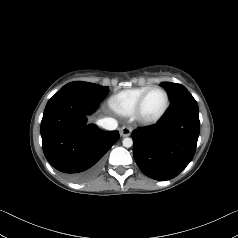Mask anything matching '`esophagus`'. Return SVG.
Returning a JSON list of instances; mask_svg holds the SVG:
<instances>
[{
	"label": "esophagus",
	"mask_w": 238,
	"mask_h": 238,
	"mask_svg": "<svg viewBox=\"0 0 238 238\" xmlns=\"http://www.w3.org/2000/svg\"><path fill=\"white\" fill-rule=\"evenodd\" d=\"M132 132V128L130 126H123L121 129H120V134L121 136L123 137H127V136H130Z\"/></svg>",
	"instance_id": "esophagus-1"
}]
</instances>
